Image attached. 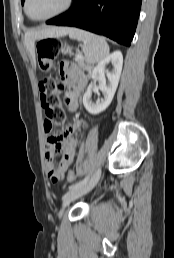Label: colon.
<instances>
[{"label":"colon","instance_id":"obj_1","mask_svg":"<svg viewBox=\"0 0 174 258\" xmlns=\"http://www.w3.org/2000/svg\"><path fill=\"white\" fill-rule=\"evenodd\" d=\"M61 47V41L52 38L37 42L38 61L42 70L48 71L53 66ZM65 88L66 86L62 81L44 79L39 82L41 105L44 108L47 120L52 125H61L66 119V111L60 102V95L65 91ZM66 177L69 182L76 180L74 171H69Z\"/></svg>","mask_w":174,"mask_h":258}]
</instances>
